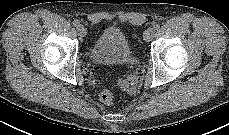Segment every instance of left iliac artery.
<instances>
[{
	"instance_id": "left-iliac-artery-1",
	"label": "left iliac artery",
	"mask_w": 229,
	"mask_h": 135,
	"mask_svg": "<svg viewBox=\"0 0 229 135\" xmlns=\"http://www.w3.org/2000/svg\"><path fill=\"white\" fill-rule=\"evenodd\" d=\"M159 28H160V24H155V25H154V29H155V30H158Z\"/></svg>"
}]
</instances>
